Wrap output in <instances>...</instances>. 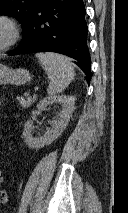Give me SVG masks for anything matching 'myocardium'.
I'll list each match as a JSON object with an SVG mask.
<instances>
[{"label": "myocardium", "mask_w": 128, "mask_h": 213, "mask_svg": "<svg viewBox=\"0 0 128 213\" xmlns=\"http://www.w3.org/2000/svg\"><path fill=\"white\" fill-rule=\"evenodd\" d=\"M0 22L5 23L10 30L8 41L4 45L0 46V52H4L11 49L18 43L21 38V27L16 19L7 14H0Z\"/></svg>", "instance_id": "obj_1"}]
</instances>
